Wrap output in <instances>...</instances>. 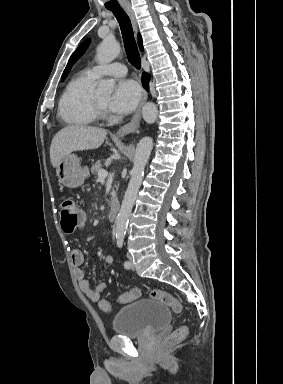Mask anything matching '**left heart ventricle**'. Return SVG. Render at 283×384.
<instances>
[{
    "label": "left heart ventricle",
    "mask_w": 283,
    "mask_h": 384,
    "mask_svg": "<svg viewBox=\"0 0 283 384\" xmlns=\"http://www.w3.org/2000/svg\"><path fill=\"white\" fill-rule=\"evenodd\" d=\"M105 110L108 111L109 95L94 98Z\"/></svg>",
    "instance_id": "b2bd125f"
}]
</instances>
